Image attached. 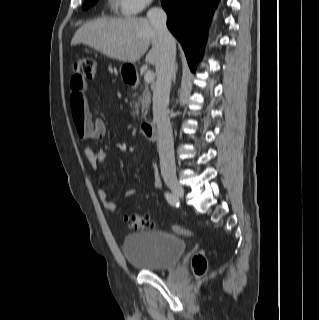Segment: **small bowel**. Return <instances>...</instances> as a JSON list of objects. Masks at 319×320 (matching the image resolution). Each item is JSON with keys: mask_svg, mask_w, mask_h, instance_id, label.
I'll use <instances>...</instances> for the list:
<instances>
[{"mask_svg": "<svg viewBox=\"0 0 319 320\" xmlns=\"http://www.w3.org/2000/svg\"><path fill=\"white\" fill-rule=\"evenodd\" d=\"M70 88V103L72 115L74 113H78L83 114L86 117V119L92 126L94 139L103 136L106 132L105 122L101 118L93 119L89 112L88 102L85 97L87 83L79 81L76 77H72L70 81ZM84 156L87 159L90 167L93 170H97V168L104 161L106 154L102 151H96L92 146H87L84 148ZM152 168L154 167L152 166ZM96 180L99 184L102 183V179L100 177H97ZM154 185L157 188H160L162 185L160 178L156 175L154 176ZM124 194L126 198H131L137 194V190L129 189L125 191ZM97 196L107 210L113 211L116 209V203L109 198V194L106 189L100 188L97 192Z\"/></svg>", "mask_w": 319, "mask_h": 320, "instance_id": "obj_1", "label": "small bowel"}]
</instances>
